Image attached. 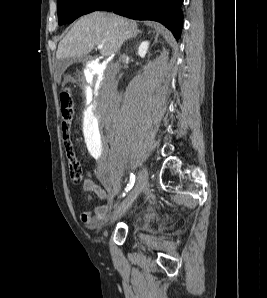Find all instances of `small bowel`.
I'll return each mask as SVG.
<instances>
[{"label": "small bowel", "instance_id": "1", "mask_svg": "<svg viewBox=\"0 0 267 298\" xmlns=\"http://www.w3.org/2000/svg\"><path fill=\"white\" fill-rule=\"evenodd\" d=\"M96 174L100 175V171L97 170ZM83 189L95 193L100 199L104 200V203L95 207L93 212L83 211L80 214V219L84 224L91 227H98L108 217L111 205L119 190V183H114L108 190H105L94 181L92 175L89 173L83 182Z\"/></svg>", "mask_w": 267, "mask_h": 298}]
</instances>
